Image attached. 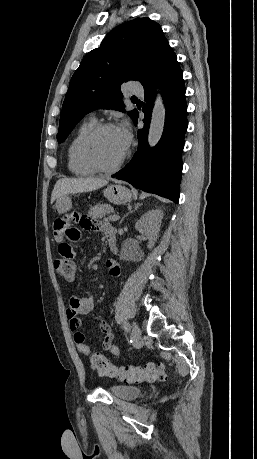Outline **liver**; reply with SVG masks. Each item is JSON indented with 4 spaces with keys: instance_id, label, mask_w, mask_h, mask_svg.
Returning a JSON list of instances; mask_svg holds the SVG:
<instances>
[{
    "instance_id": "1",
    "label": "liver",
    "mask_w": 257,
    "mask_h": 459,
    "mask_svg": "<svg viewBox=\"0 0 257 459\" xmlns=\"http://www.w3.org/2000/svg\"><path fill=\"white\" fill-rule=\"evenodd\" d=\"M108 184L101 178H63L56 182L51 195V203L57 198L83 192H90Z\"/></svg>"
}]
</instances>
